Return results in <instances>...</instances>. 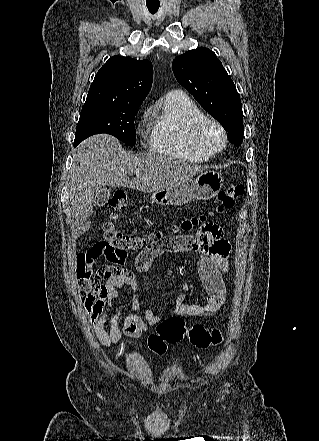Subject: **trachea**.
Listing matches in <instances>:
<instances>
[{"mask_svg": "<svg viewBox=\"0 0 319 441\" xmlns=\"http://www.w3.org/2000/svg\"><path fill=\"white\" fill-rule=\"evenodd\" d=\"M147 8L151 14H155L159 9V5H148Z\"/></svg>", "mask_w": 319, "mask_h": 441, "instance_id": "3493384b", "label": "trachea"}]
</instances>
